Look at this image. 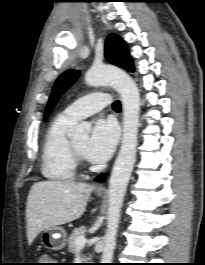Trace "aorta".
<instances>
[{
    "label": "aorta",
    "instance_id": "obj_1",
    "mask_svg": "<svg viewBox=\"0 0 205 265\" xmlns=\"http://www.w3.org/2000/svg\"><path fill=\"white\" fill-rule=\"evenodd\" d=\"M85 81L89 86L114 87L120 94L123 105V136L109 181L107 231L103 238L104 248L101 256V263H112L121 208L136 160L140 93L134 80L127 73L113 66L91 67L85 75ZM90 128L89 123L82 122L76 127L73 136L86 138Z\"/></svg>",
    "mask_w": 205,
    "mask_h": 265
}]
</instances>
